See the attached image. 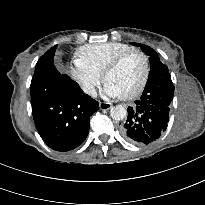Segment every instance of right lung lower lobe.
I'll use <instances>...</instances> for the list:
<instances>
[{
    "label": "right lung lower lobe",
    "mask_w": 205,
    "mask_h": 205,
    "mask_svg": "<svg viewBox=\"0 0 205 205\" xmlns=\"http://www.w3.org/2000/svg\"><path fill=\"white\" fill-rule=\"evenodd\" d=\"M56 48L48 50L36 64L30 86L32 114L44 142L53 150L69 151L86 139L90 116L99 104L56 70Z\"/></svg>",
    "instance_id": "98d812e1"
}]
</instances>
